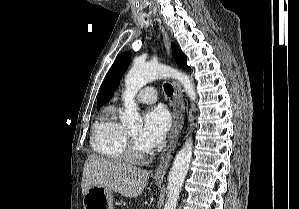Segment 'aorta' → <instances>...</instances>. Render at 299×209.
<instances>
[{"label":"aorta","instance_id":"obj_1","mask_svg":"<svg viewBox=\"0 0 299 209\" xmlns=\"http://www.w3.org/2000/svg\"><path fill=\"white\" fill-rule=\"evenodd\" d=\"M160 78H174L178 80L191 101H195V86L188 75L171 67L159 63L135 62L125 78V92L123 100L124 113L121 116L122 124L128 127H139L142 118L138 113V106L134 101L136 93L147 83ZM192 139L189 138L175 156L169 173L167 185V202L164 209H176L185 177L192 158Z\"/></svg>","mask_w":299,"mask_h":209}]
</instances>
